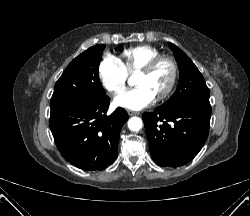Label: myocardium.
<instances>
[{
	"label": "myocardium",
	"instance_id": "1",
	"mask_svg": "<svg viewBox=\"0 0 250 216\" xmlns=\"http://www.w3.org/2000/svg\"><path fill=\"white\" fill-rule=\"evenodd\" d=\"M166 64L169 67L170 74L169 79L166 84V86L158 93L156 94V98L158 100H161L165 97H167L171 91L173 90L177 76H178V67L176 62L168 56H159L151 60L146 66H144L142 69H140L137 73L147 75L152 73L160 64Z\"/></svg>",
	"mask_w": 250,
	"mask_h": 216
}]
</instances>
